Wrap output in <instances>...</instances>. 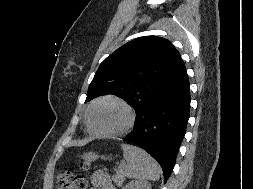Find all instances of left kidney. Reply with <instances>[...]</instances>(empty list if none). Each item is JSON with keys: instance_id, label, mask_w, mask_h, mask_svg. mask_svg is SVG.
<instances>
[{"instance_id": "left-kidney-1", "label": "left kidney", "mask_w": 253, "mask_h": 189, "mask_svg": "<svg viewBox=\"0 0 253 189\" xmlns=\"http://www.w3.org/2000/svg\"><path fill=\"white\" fill-rule=\"evenodd\" d=\"M122 189H151V185L146 181L133 180L126 184Z\"/></svg>"}]
</instances>
